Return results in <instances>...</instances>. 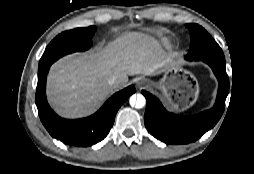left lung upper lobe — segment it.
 I'll return each instance as SVG.
<instances>
[{"label":"left lung upper lobe","mask_w":254,"mask_h":174,"mask_svg":"<svg viewBox=\"0 0 254 174\" xmlns=\"http://www.w3.org/2000/svg\"><path fill=\"white\" fill-rule=\"evenodd\" d=\"M186 27L190 30L191 38L189 51L185 57L186 59H214L225 62L221 48L203 27L198 24H186Z\"/></svg>","instance_id":"1"}]
</instances>
